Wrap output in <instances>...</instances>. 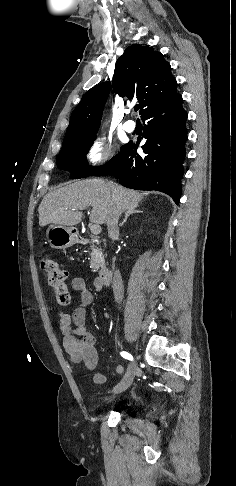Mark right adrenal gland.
Instances as JSON below:
<instances>
[{"mask_svg":"<svg viewBox=\"0 0 236 486\" xmlns=\"http://www.w3.org/2000/svg\"><path fill=\"white\" fill-rule=\"evenodd\" d=\"M143 211H140L137 209V207L135 208H131V209H128L126 212H125V218L123 219V221L120 223V227H122L124 225V223L127 221L128 217L134 213H142Z\"/></svg>","mask_w":236,"mask_h":486,"instance_id":"2a0ac1e0","label":"right adrenal gland"}]
</instances>
